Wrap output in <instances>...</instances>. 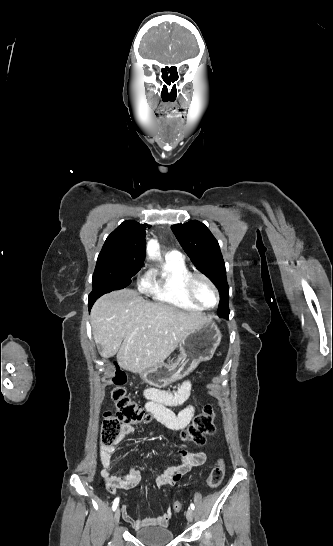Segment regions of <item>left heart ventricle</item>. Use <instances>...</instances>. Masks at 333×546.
I'll use <instances>...</instances> for the list:
<instances>
[{
    "label": "left heart ventricle",
    "mask_w": 333,
    "mask_h": 546,
    "mask_svg": "<svg viewBox=\"0 0 333 546\" xmlns=\"http://www.w3.org/2000/svg\"><path fill=\"white\" fill-rule=\"evenodd\" d=\"M193 291L196 297L206 306H213L216 303V295L210 285L201 279L193 282Z\"/></svg>",
    "instance_id": "obj_1"
}]
</instances>
